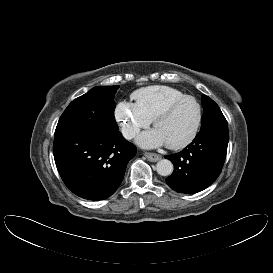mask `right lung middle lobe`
<instances>
[{"mask_svg": "<svg viewBox=\"0 0 273 273\" xmlns=\"http://www.w3.org/2000/svg\"><path fill=\"white\" fill-rule=\"evenodd\" d=\"M118 88L119 86H97L73 100L61 115L55 134L85 129L117 132L114 96Z\"/></svg>", "mask_w": 273, "mask_h": 273, "instance_id": "dd1d6c3e", "label": "right lung middle lobe"}]
</instances>
